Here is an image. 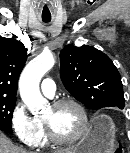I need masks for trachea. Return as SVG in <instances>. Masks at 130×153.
Wrapping results in <instances>:
<instances>
[{"label": "trachea", "mask_w": 130, "mask_h": 153, "mask_svg": "<svg viewBox=\"0 0 130 153\" xmlns=\"http://www.w3.org/2000/svg\"><path fill=\"white\" fill-rule=\"evenodd\" d=\"M42 20H43L44 23H48V22L51 21V18H42Z\"/></svg>", "instance_id": "obj_1"}]
</instances>
